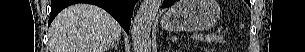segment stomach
<instances>
[{"label":"stomach","mask_w":305,"mask_h":52,"mask_svg":"<svg viewBox=\"0 0 305 52\" xmlns=\"http://www.w3.org/2000/svg\"><path fill=\"white\" fill-rule=\"evenodd\" d=\"M219 16L216 0H180L167 10L160 23L170 32L202 31L213 27Z\"/></svg>","instance_id":"1"}]
</instances>
